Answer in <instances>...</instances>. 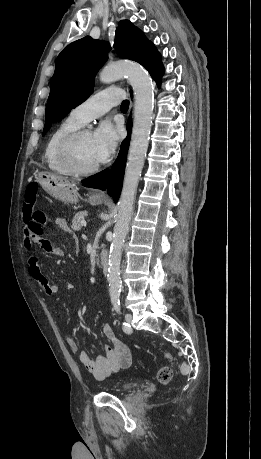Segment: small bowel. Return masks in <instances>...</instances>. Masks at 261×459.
<instances>
[{"label":"small bowel","instance_id":"1","mask_svg":"<svg viewBox=\"0 0 261 459\" xmlns=\"http://www.w3.org/2000/svg\"><path fill=\"white\" fill-rule=\"evenodd\" d=\"M56 225L66 232H71L66 221L62 218L56 219ZM33 244H38L42 250L57 253L53 243L44 237L43 233L37 234L35 238H24V246L31 248ZM29 275L39 284L44 293L52 297L58 292V286L51 282L42 272L38 258L31 256L28 261ZM103 334L109 341L104 347V354L91 359L88 352L82 349L79 353L80 362L97 379H104L112 373L130 367L132 358L128 347L116 336L113 327L106 323L103 325ZM66 343L70 350L77 351L78 343L72 338L67 337Z\"/></svg>","mask_w":261,"mask_h":459}]
</instances>
